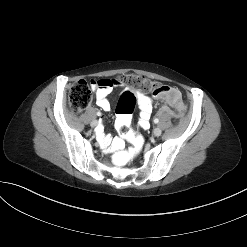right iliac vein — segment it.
<instances>
[{
    "label": "right iliac vein",
    "mask_w": 247,
    "mask_h": 247,
    "mask_svg": "<svg viewBox=\"0 0 247 247\" xmlns=\"http://www.w3.org/2000/svg\"><path fill=\"white\" fill-rule=\"evenodd\" d=\"M98 125V121L97 120H93L92 122H91V126L92 127H96Z\"/></svg>",
    "instance_id": "1"
}]
</instances>
